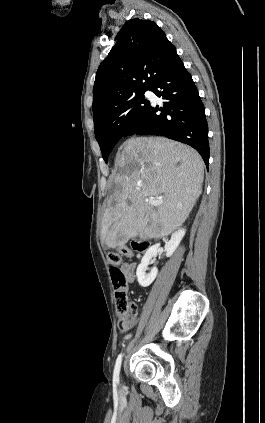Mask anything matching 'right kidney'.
Wrapping results in <instances>:
<instances>
[{
  "mask_svg": "<svg viewBox=\"0 0 265 423\" xmlns=\"http://www.w3.org/2000/svg\"><path fill=\"white\" fill-rule=\"evenodd\" d=\"M186 233V229L180 228L171 235V239L165 244L166 257H171L177 247L179 246L181 240L183 239ZM160 244L157 243L151 246L143 256L141 263L137 267L136 276L140 286L148 287L156 278L158 269L156 267L152 268L150 273H146L147 267L153 257L158 253Z\"/></svg>",
  "mask_w": 265,
  "mask_h": 423,
  "instance_id": "right-kidney-1",
  "label": "right kidney"
}]
</instances>
